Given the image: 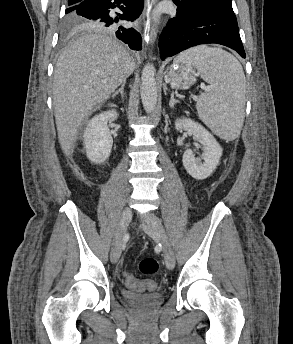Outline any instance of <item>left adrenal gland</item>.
<instances>
[{
    "instance_id": "a2214340",
    "label": "left adrenal gland",
    "mask_w": 293,
    "mask_h": 344,
    "mask_svg": "<svg viewBox=\"0 0 293 344\" xmlns=\"http://www.w3.org/2000/svg\"><path fill=\"white\" fill-rule=\"evenodd\" d=\"M177 103H179V101L174 99V93L172 92L171 93V98H170V101H169L170 108H174L175 104H177Z\"/></svg>"
}]
</instances>
